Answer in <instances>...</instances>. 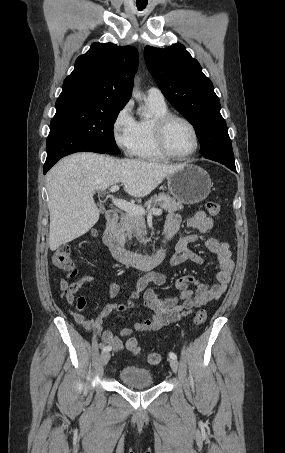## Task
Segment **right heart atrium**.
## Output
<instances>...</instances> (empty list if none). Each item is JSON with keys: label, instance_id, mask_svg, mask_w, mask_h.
<instances>
[{"label": "right heart atrium", "instance_id": "1", "mask_svg": "<svg viewBox=\"0 0 285 453\" xmlns=\"http://www.w3.org/2000/svg\"><path fill=\"white\" fill-rule=\"evenodd\" d=\"M136 120L131 105H124L112 122V136L116 145L126 154H131Z\"/></svg>", "mask_w": 285, "mask_h": 453}]
</instances>
